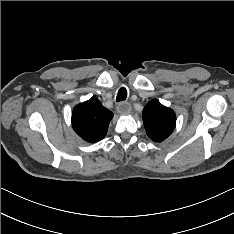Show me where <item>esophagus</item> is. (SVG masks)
Masks as SVG:
<instances>
[{
    "label": "esophagus",
    "mask_w": 234,
    "mask_h": 234,
    "mask_svg": "<svg viewBox=\"0 0 234 234\" xmlns=\"http://www.w3.org/2000/svg\"><path fill=\"white\" fill-rule=\"evenodd\" d=\"M117 111L121 114H129L131 112V105L128 102L120 103L117 106Z\"/></svg>",
    "instance_id": "1"
}]
</instances>
